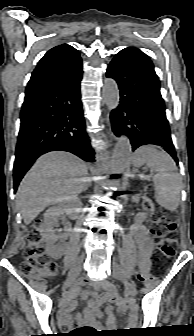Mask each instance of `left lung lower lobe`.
I'll return each instance as SVG.
<instances>
[{"label": "left lung lower lobe", "instance_id": "0a47b994", "mask_svg": "<svg viewBox=\"0 0 194 336\" xmlns=\"http://www.w3.org/2000/svg\"><path fill=\"white\" fill-rule=\"evenodd\" d=\"M106 76L115 79L120 89V104L111 112L114 133L127 136L133 151L147 144L161 146L178 164L160 82L143 53L136 48L121 50Z\"/></svg>", "mask_w": 194, "mask_h": 336}]
</instances>
